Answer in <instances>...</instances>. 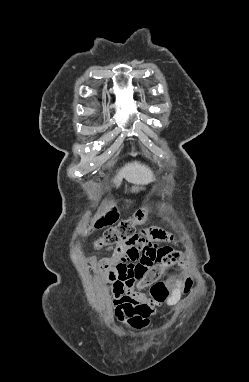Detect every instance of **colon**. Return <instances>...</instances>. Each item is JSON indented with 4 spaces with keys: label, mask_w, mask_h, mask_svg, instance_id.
Returning a JSON list of instances; mask_svg holds the SVG:
<instances>
[{
    "label": "colon",
    "mask_w": 249,
    "mask_h": 382,
    "mask_svg": "<svg viewBox=\"0 0 249 382\" xmlns=\"http://www.w3.org/2000/svg\"><path fill=\"white\" fill-rule=\"evenodd\" d=\"M149 213L150 210L148 208L139 209L131 218L122 220L115 226L108 228L103 236L96 241V246H109L122 241H141V238H138L136 227L147 223ZM116 217V209L111 208L105 215L95 221L94 226L100 228L112 224ZM140 249L144 251L143 258L136 265L131 266L128 275L136 279L138 278L139 282H153L150 289L151 298H160L162 302L168 291L164 283L156 280L161 275H164L165 271L177 268V261H183L185 256L181 251L164 250L158 246L157 248ZM189 288L190 286L188 285L187 291Z\"/></svg>",
    "instance_id": "1"
}]
</instances>
